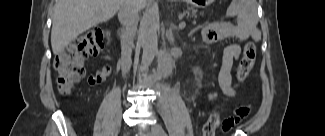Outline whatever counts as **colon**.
<instances>
[{
	"instance_id": "obj_1",
	"label": "colon",
	"mask_w": 325,
	"mask_h": 136,
	"mask_svg": "<svg viewBox=\"0 0 325 136\" xmlns=\"http://www.w3.org/2000/svg\"><path fill=\"white\" fill-rule=\"evenodd\" d=\"M107 34L98 29L78 36L67 45L55 58L54 67L57 73V86L62 94L71 91L85 75L84 61L96 55L106 45ZM255 46L247 42L237 69V78L244 81L255 62ZM220 124V115L212 113L203 126V136H214Z\"/></svg>"
}]
</instances>
